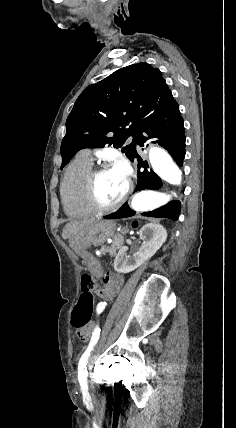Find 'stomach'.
Returning <instances> with one entry per match:
<instances>
[{"mask_svg":"<svg viewBox=\"0 0 236 428\" xmlns=\"http://www.w3.org/2000/svg\"><path fill=\"white\" fill-rule=\"evenodd\" d=\"M114 234V226L107 220H96L93 224L85 226L84 230L78 234L77 238H70L69 246L80 256L86 260L84 266L86 269H92L93 276H100L103 270V263L98 262L95 256H91L88 252L90 246H102L106 240L112 238Z\"/></svg>","mask_w":236,"mask_h":428,"instance_id":"1","label":"stomach"}]
</instances>
